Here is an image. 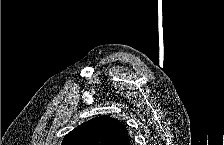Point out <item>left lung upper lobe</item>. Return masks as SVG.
Returning <instances> with one entry per match:
<instances>
[{
	"label": "left lung upper lobe",
	"instance_id": "5c2ea615",
	"mask_svg": "<svg viewBox=\"0 0 224 145\" xmlns=\"http://www.w3.org/2000/svg\"><path fill=\"white\" fill-rule=\"evenodd\" d=\"M62 145H130L128 131L117 119L96 117L70 131Z\"/></svg>",
	"mask_w": 224,
	"mask_h": 145
}]
</instances>
